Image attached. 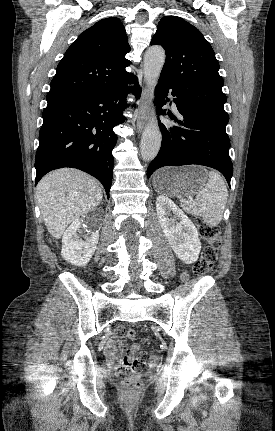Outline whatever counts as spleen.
Returning <instances> with one entry per match:
<instances>
[{
	"mask_svg": "<svg viewBox=\"0 0 275 431\" xmlns=\"http://www.w3.org/2000/svg\"><path fill=\"white\" fill-rule=\"evenodd\" d=\"M208 182L196 195L194 201L181 199L183 209L191 214L202 216L209 226H217L223 217L228 191L223 178L215 171H209Z\"/></svg>",
	"mask_w": 275,
	"mask_h": 431,
	"instance_id": "1",
	"label": "spleen"
}]
</instances>
